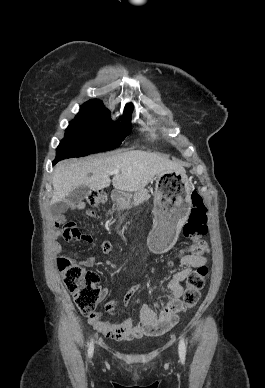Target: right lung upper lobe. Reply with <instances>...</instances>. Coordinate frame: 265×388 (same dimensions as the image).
Segmentation results:
<instances>
[{
  "label": "right lung upper lobe",
  "instance_id": "right-lung-upper-lobe-1",
  "mask_svg": "<svg viewBox=\"0 0 265 388\" xmlns=\"http://www.w3.org/2000/svg\"><path fill=\"white\" fill-rule=\"evenodd\" d=\"M128 106H133L131 103L130 104H127Z\"/></svg>",
  "mask_w": 265,
  "mask_h": 388
}]
</instances>
